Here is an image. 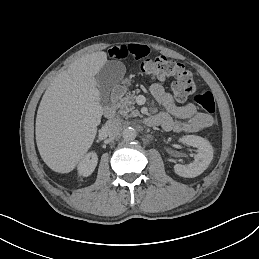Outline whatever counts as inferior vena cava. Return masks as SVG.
I'll list each match as a JSON object with an SVG mask.
<instances>
[{
  "label": "inferior vena cava",
  "instance_id": "602c4592",
  "mask_svg": "<svg viewBox=\"0 0 259 259\" xmlns=\"http://www.w3.org/2000/svg\"><path fill=\"white\" fill-rule=\"evenodd\" d=\"M105 126H106L107 133L110 136H115V137L120 134L122 129L121 122L116 118H112L106 121Z\"/></svg>",
  "mask_w": 259,
  "mask_h": 259
}]
</instances>
